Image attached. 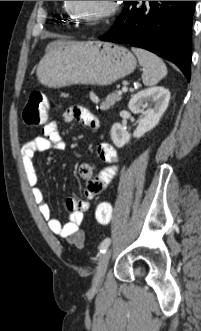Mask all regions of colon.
I'll use <instances>...</instances> for the list:
<instances>
[{
	"label": "colon",
	"instance_id": "obj_1",
	"mask_svg": "<svg viewBox=\"0 0 201 331\" xmlns=\"http://www.w3.org/2000/svg\"><path fill=\"white\" fill-rule=\"evenodd\" d=\"M23 119L28 126L37 127L43 125L48 119V105L45 96L35 91L31 93L23 110ZM113 209L109 202H99L96 211V221L103 226L108 225L112 220ZM75 245L83 247L84 240H77Z\"/></svg>",
	"mask_w": 201,
	"mask_h": 331
}]
</instances>
